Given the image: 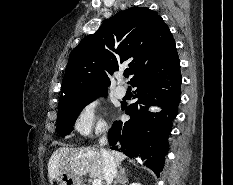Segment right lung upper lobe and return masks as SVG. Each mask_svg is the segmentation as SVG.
<instances>
[{
    "instance_id": "cb5924a9",
    "label": "right lung upper lobe",
    "mask_w": 233,
    "mask_h": 185,
    "mask_svg": "<svg viewBox=\"0 0 233 185\" xmlns=\"http://www.w3.org/2000/svg\"><path fill=\"white\" fill-rule=\"evenodd\" d=\"M178 59L173 36L163 19L145 7L118 12L95 34L86 36L70 55L59 105L107 91L110 75L122 63L133 74L131 83L152 68Z\"/></svg>"
}]
</instances>
